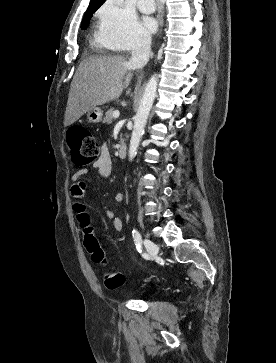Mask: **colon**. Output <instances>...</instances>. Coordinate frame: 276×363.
Listing matches in <instances>:
<instances>
[{"instance_id": "5ec220e1", "label": "colon", "mask_w": 276, "mask_h": 363, "mask_svg": "<svg viewBox=\"0 0 276 363\" xmlns=\"http://www.w3.org/2000/svg\"><path fill=\"white\" fill-rule=\"evenodd\" d=\"M67 145L73 163L84 167L94 163L99 157V144L96 138L84 127H71L66 135ZM87 225V216L81 217V226ZM84 245L94 263L106 265V253L100 246L95 234L89 233L84 238ZM124 275L116 269H109L104 275V285L110 290L122 287Z\"/></svg>"}]
</instances>
